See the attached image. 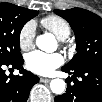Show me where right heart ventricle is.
<instances>
[{
	"label": "right heart ventricle",
	"mask_w": 102,
	"mask_h": 102,
	"mask_svg": "<svg viewBox=\"0 0 102 102\" xmlns=\"http://www.w3.org/2000/svg\"><path fill=\"white\" fill-rule=\"evenodd\" d=\"M41 24L59 40L67 39L72 33L70 24L64 18L57 15L44 17L41 19Z\"/></svg>",
	"instance_id": "obj_1"
}]
</instances>
